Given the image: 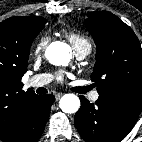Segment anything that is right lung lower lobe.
I'll return each mask as SVG.
<instances>
[{"instance_id": "right-lung-lower-lobe-1", "label": "right lung lower lobe", "mask_w": 142, "mask_h": 142, "mask_svg": "<svg viewBox=\"0 0 142 142\" xmlns=\"http://www.w3.org/2000/svg\"><path fill=\"white\" fill-rule=\"evenodd\" d=\"M54 101L55 97L52 94L37 95L30 102L14 132L1 140L3 142H37L43 133Z\"/></svg>"}]
</instances>
